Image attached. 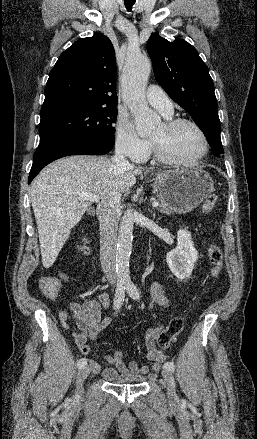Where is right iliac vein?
I'll list each match as a JSON object with an SVG mask.
<instances>
[{
    "label": "right iliac vein",
    "instance_id": "right-iliac-vein-1",
    "mask_svg": "<svg viewBox=\"0 0 257 439\" xmlns=\"http://www.w3.org/2000/svg\"><path fill=\"white\" fill-rule=\"evenodd\" d=\"M89 373H90L89 366H84L79 370L77 377V391H76L77 398H81L83 395V382L88 377Z\"/></svg>",
    "mask_w": 257,
    "mask_h": 439
}]
</instances>
